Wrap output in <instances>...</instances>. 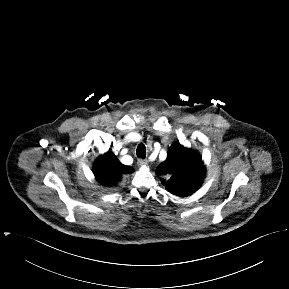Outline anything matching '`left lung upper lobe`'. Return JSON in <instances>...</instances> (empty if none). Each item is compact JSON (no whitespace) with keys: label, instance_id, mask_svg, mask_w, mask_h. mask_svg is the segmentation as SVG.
Masks as SVG:
<instances>
[{"label":"left lung upper lobe","instance_id":"left-lung-upper-lobe-1","mask_svg":"<svg viewBox=\"0 0 289 289\" xmlns=\"http://www.w3.org/2000/svg\"><path fill=\"white\" fill-rule=\"evenodd\" d=\"M157 175L167 178H161L167 191L177 196H188L200 187L205 167L199 153L176 143L169 148L167 159L158 166Z\"/></svg>","mask_w":289,"mask_h":289}]
</instances>
